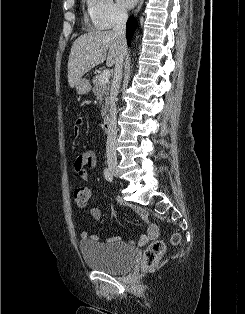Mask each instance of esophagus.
<instances>
[{"label":"esophagus","instance_id":"34e87169","mask_svg":"<svg viewBox=\"0 0 245 314\" xmlns=\"http://www.w3.org/2000/svg\"><path fill=\"white\" fill-rule=\"evenodd\" d=\"M143 1L144 0H139L138 5H137V7H136V9L134 11V15H136L140 11V9L142 7V4H143Z\"/></svg>","mask_w":245,"mask_h":314}]
</instances>
